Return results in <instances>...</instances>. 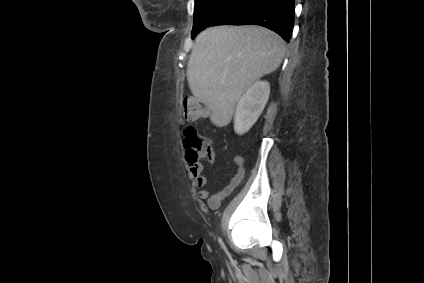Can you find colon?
Wrapping results in <instances>:
<instances>
[{"label":"colon","instance_id":"obj_1","mask_svg":"<svg viewBox=\"0 0 424 283\" xmlns=\"http://www.w3.org/2000/svg\"><path fill=\"white\" fill-rule=\"evenodd\" d=\"M204 114L203 107L194 99H187L183 105V120L185 122H193ZM185 145L189 148L188 157L191 161L196 162L203 158L213 160V146L199 136L192 127L186 130Z\"/></svg>","mask_w":424,"mask_h":283}]
</instances>
